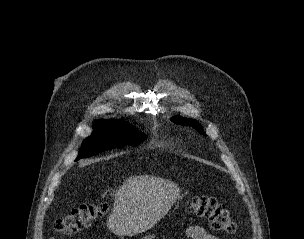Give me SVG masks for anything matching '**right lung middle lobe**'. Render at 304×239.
<instances>
[{
	"label": "right lung middle lobe",
	"mask_w": 304,
	"mask_h": 239,
	"mask_svg": "<svg viewBox=\"0 0 304 239\" xmlns=\"http://www.w3.org/2000/svg\"><path fill=\"white\" fill-rule=\"evenodd\" d=\"M147 138L130 124L117 120H97L92 135L83 141L78 157L86 158L107 149L137 146Z\"/></svg>",
	"instance_id": "obj_1"
}]
</instances>
